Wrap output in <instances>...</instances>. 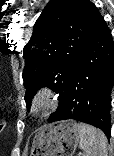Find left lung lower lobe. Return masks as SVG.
I'll return each instance as SVG.
<instances>
[{
    "label": "left lung lower lobe",
    "mask_w": 114,
    "mask_h": 156,
    "mask_svg": "<svg viewBox=\"0 0 114 156\" xmlns=\"http://www.w3.org/2000/svg\"><path fill=\"white\" fill-rule=\"evenodd\" d=\"M113 72L114 43L99 14L76 62L65 99L49 123L78 120L100 128L109 139Z\"/></svg>",
    "instance_id": "1"
}]
</instances>
